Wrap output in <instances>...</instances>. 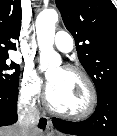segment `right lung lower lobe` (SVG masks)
<instances>
[{
	"instance_id": "right-lung-lower-lobe-1",
	"label": "right lung lower lobe",
	"mask_w": 117,
	"mask_h": 136,
	"mask_svg": "<svg viewBox=\"0 0 117 136\" xmlns=\"http://www.w3.org/2000/svg\"><path fill=\"white\" fill-rule=\"evenodd\" d=\"M17 98L18 87L0 88V126L11 125L17 121ZM46 123V119H40L39 127L45 128Z\"/></svg>"
}]
</instances>
